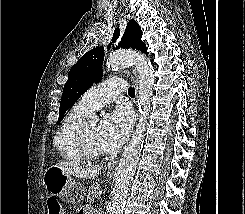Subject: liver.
Masks as SVG:
<instances>
[{"label":"liver","instance_id":"6515ba94","mask_svg":"<svg viewBox=\"0 0 245 214\" xmlns=\"http://www.w3.org/2000/svg\"><path fill=\"white\" fill-rule=\"evenodd\" d=\"M54 166L78 178L92 179L100 174V169L95 166H78L71 162H61Z\"/></svg>","mask_w":245,"mask_h":214}]
</instances>
